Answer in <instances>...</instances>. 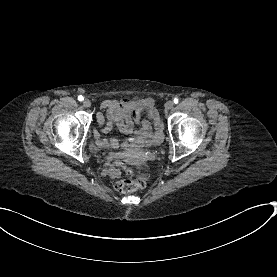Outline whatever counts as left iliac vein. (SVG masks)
Segmentation results:
<instances>
[{"label": "left iliac vein", "mask_w": 277, "mask_h": 277, "mask_svg": "<svg viewBox=\"0 0 277 277\" xmlns=\"http://www.w3.org/2000/svg\"><path fill=\"white\" fill-rule=\"evenodd\" d=\"M173 106H174V103H173V101H171V100H169V101H167V102L165 103V109H167V110L172 109Z\"/></svg>", "instance_id": "left-iliac-vein-1"}]
</instances>
